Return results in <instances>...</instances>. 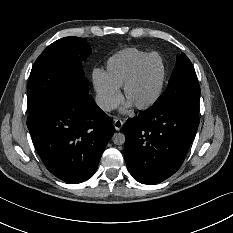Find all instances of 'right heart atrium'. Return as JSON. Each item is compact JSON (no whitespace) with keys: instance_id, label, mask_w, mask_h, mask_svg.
Segmentation results:
<instances>
[{"instance_id":"right-heart-atrium-1","label":"right heart atrium","mask_w":233,"mask_h":233,"mask_svg":"<svg viewBox=\"0 0 233 233\" xmlns=\"http://www.w3.org/2000/svg\"><path fill=\"white\" fill-rule=\"evenodd\" d=\"M92 84L96 103L102 111L111 112L120 104L122 100L120 88L115 86L101 69H93Z\"/></svg>"}]
</instances>
